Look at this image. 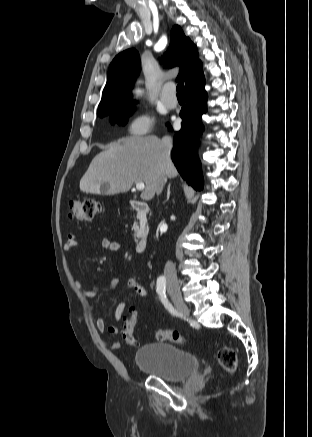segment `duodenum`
<instances>
[{
    "label": "duodenum",
    "mask_w": 312,
    "mask_h": 437,
    "mask_svg": "<svg viewBox=\"0 0 312 437\" xmlns=\"http://www.w3.org/2000/svg\"><path fill=\"white\" fill-rule=\"evenodd\" d=\"M131 207L137 213V217L139 220H143L149 211L148 204L139 199L131 200ZM148 246V239L145 235H141L136 242L135 249L136 252L141 254L144 253Z\"/></svg>",
    "instance_id": "1"
}]
</instances>
